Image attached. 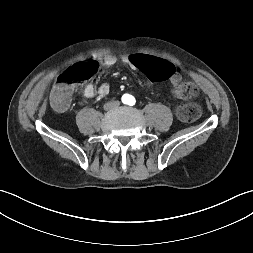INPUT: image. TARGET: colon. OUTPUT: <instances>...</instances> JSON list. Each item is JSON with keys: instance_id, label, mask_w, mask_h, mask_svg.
<instances>
[{"instance_id": "colon-1", "label": "colon", "mask_w": 253, "mask_h": 253, "mask_svg": "<svg viewBox=\"0 0 253 253\" xmlns=\"http://www.w3.org/2000/svg\"><path fill=\"white\" fill-rule=\"evenodd\" d=\"M130 61L140 67L144 73L153 80L167 77L174 72V67L164 60H157L148 54H132ZM99 67L96 60H87L77 63L62 73L52 90V101L57 109L64 110L68 107L71 97L72 85L85 81L95 75ZM176 96L189 99L196 95L197 88L191 82H180L174 89ZM198 104L187 103L179 106L178 117L184 122H193L201 116Z\"/></svg>"}]
</instances>
